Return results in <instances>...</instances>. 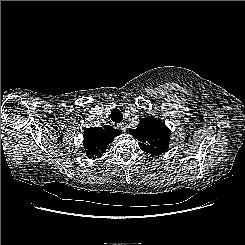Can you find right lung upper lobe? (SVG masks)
<instances>
[{
  "label": "right lung upper lobe",
  "instance_id": "right-lung-upper-lobe-1",
  "mask_svg": "<svg viewBox=\"0 0 245 245\" xmlns=\"http://www.w3.org/2000/svg\"><path fill=\"white\" fill-rule=\"evenodd\" d=\"M120 134V130L110 125L104 127L86 128L84 130V148L89 158H100L105 152L107 145Z\"/></svg>",
  "mask_w": 245,
  "mask_h": 245
}]
</instances>
